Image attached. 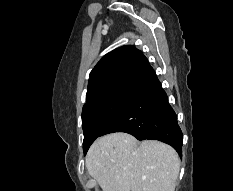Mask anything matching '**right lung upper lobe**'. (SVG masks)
<instances>
[{
	"label": "right lung upper lobe",
	"mask_w": 233,
	"mask_h": 191,
	"mask_svg": "<svg viewBox=\"0 0 233 191\" xmlns=\"http://www.w3.org/2000/svg\"><path fill=\"white\" fill-rule=\"evenodd\" d=\"M148 64L147 58L132 45L107 53L90 73L84 106L111 94L127 91Z\"/></svg>",
	"instance_id": "right-lung-upper-lobe-1"
}]
</instances>
